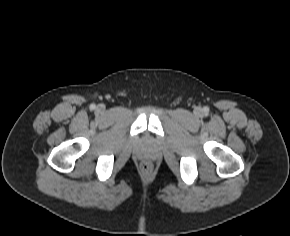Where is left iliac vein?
Masks as SVG:
<instances>
[{
    "mask_svg": "<svg viewBox=\"0 0 290 236\" xmlns=\"http://www.w3.org/2000/svg\"><path fill=\"white\" fill-rule=\"evenodd\" d=\"M196 114H197L198 116H201V115H202V109H201V108H197V109H196Z\"/></svg>",
    "mask_w": 290,
    "mask_h": 236,
    "instance_id": "obj_1",
    "label": "left iliac vein"
}]
</instances>
